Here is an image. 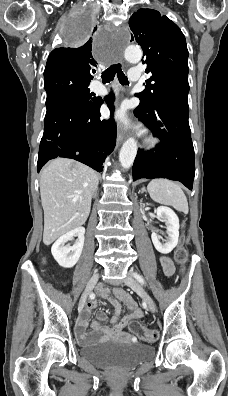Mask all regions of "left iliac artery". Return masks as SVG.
<instances>
[{
	"label": "left iliac artery",
	"mask_w": 228,
	"mask_h": 396,
	"mask_svg": "<svg viewBox=\"0 0 228 396\" xmlns=\"http://www.w3.org/2000/svg\"><path fill=\"white\" fill-rule=\"evenodd\" d=\"M133 276H134V278H135L137 281H139L141 284H144V283H145L143 277H142L141 275H139L138 273H134Z\"/></svg>",
	"instance_id": "1"
}]
</instances>
